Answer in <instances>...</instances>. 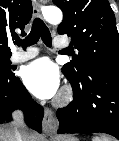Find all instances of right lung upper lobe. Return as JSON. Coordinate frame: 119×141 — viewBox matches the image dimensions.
<instances>
[{"label": "right lung upper lobe", "instance_id": "cb5924a9", "mask_svg": "<svg viewBox=\"0 0 119 141\" xmlns=\"http://www.w3.org/2000/svg\"><path fill=\"white\" fill-rule=\"evenodd\" d=\"M31 17V0H0V57L11 56L8 42L18 37L17 29L25 35L24 27Z\"/></svg>", "mask_w": 119, "mask_h": 141}]
</instances>
